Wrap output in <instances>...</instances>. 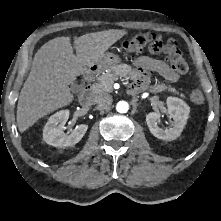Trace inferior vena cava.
Returning <instances> with one entry per match:
<instances>
[{
    "mask_svg": "<svg viewBox=\"0 0 221 221\" xmlns=\"http://www.w3.org/2000/svg\"><path fill=\"white\" fill-rule=\"evenodd\" d=\"M112 101V96L106 93L99 94L94 97V102L96 104H100L106 107L110 106L112 104Z\"/></svg>",
    "mask_w": 221,
    "mask_h": 221,
    "instance_id": "obj_1",
    "label": "inferior vena cava"
}]
</instances>
